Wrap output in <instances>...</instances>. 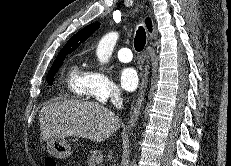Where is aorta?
<instances>
[{
	"mask_svg": "<svg viewBox=\"0 0 231 166\" xmlns=\"http://www.w3.org/2000/svg\"><path fill=\"white\" fill-rule=\"evenodd\" d=\"M118 33L117 32H110L106 34L99 42L96 50V55L98 60L101 63H106L109 61L116 42L118 40ZM131 166H136L135 161L131 163Z\"/></svg>",
	"mask_w": 231,
	"mask_h": 166,
	"instance_id": "aorta-1",
	"label": "aorta"
}]
</instances>
